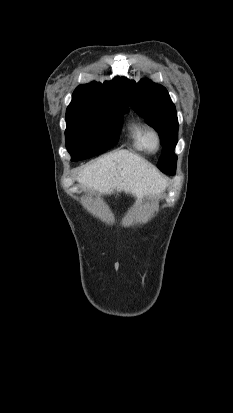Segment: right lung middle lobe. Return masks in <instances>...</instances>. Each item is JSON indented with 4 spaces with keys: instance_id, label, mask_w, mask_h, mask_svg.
Here are the masks:
<instances>
[{
    "instance_id": "right-lung-middle-lobe-1",
    "label": "right lung middle lobe",
    "mask_w": 233,
    "mask_h": 413,
    "mask_svg": "<svg viewBox=\"0 0 233 413\" xmlns=\"http://www.w3.org/2000/svg\"><path fill=\"white\" fill-rule=\"evenodd\" d=\"M123 103L72 99L66 110V147L72 161L101 154L112 148L120 134Z\"/></svg>"
}]
</instances>
